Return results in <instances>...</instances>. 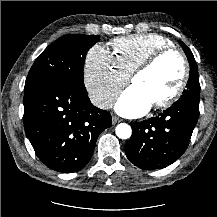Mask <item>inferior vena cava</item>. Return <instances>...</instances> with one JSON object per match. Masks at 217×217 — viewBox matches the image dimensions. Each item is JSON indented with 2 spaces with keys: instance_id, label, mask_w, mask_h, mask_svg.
<instances>
[{
  "instance_id": "602c4592",
  "label": "inferior vena cava",
  "mask_w": 217,
  "mask_h": 217,
  "mask_svg": "<svg viewBox=\"0 0 217 217\" xmlns=\"http://www.w3.org/2000/svg\"><path fill=\"white\" fill-rule=\"evenodd\" d=\"M90 100L93 105L100 109L112 108L114 104V97L108 93H97L90 95Z\"/></svg>"
}]
</instances>
